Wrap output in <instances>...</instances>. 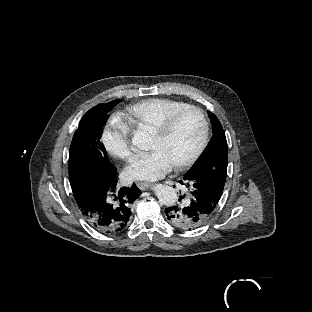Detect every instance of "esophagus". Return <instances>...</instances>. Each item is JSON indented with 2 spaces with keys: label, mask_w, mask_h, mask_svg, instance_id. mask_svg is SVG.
Wrapping results in <instances>:
<instances>
[{
  "label": "esophagus",
  "mask_w": 312,
  "mask_h": 312,
  "mask_svg": "<svg viewBox=\"0 0 312 312\" xmlns=\"http://www.w3.org/2000/svg\"><path fill=\"white\" fill-rule=\"evenodd\" d=\"M137 186H138L139 189L145 190L147 188L152 187L153 185L150 182L139 181V182H137Z\"/></svg>",
  "instance_id": "34e87169"
}]
</instances>
